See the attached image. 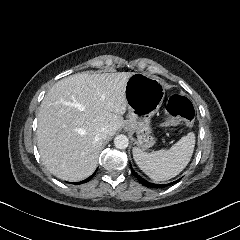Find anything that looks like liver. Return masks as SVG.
Wrapping results in <instances>:
<instances>
[{
    "instance_id": "liver-1",
    "label": "liver",
    "mask_w": 240,
    "mask_h": 240,
    "mask_svg": "<svg viewBox=\"0 0 240 240\" xmlns=\"http://www.w3.org/2000/svg\"><path fill=\"white\" fill-rule=\"evenodd\" d=\"M134 72L76 73L57 81L41 101L37 146L55 177L78 182L97 168L103 127L112 137L124 125L125 86Z\"/></svg>"
}]
</instances>
